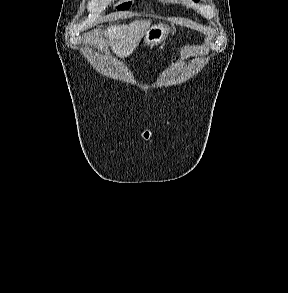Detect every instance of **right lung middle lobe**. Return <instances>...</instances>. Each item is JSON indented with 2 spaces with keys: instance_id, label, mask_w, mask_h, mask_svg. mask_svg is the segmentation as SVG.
<instances>
[{
  "instance_id": "right-lung-middle-lobe-1",
  "label": "right lung middle lobe",
  "mask_w": 288,
  "mask_h": 293,
  "mask_svg": "<svg viewBox=\"0 0 288 293\" xmlns=\"http://www.w3.org/2000/svg\"><path fill=\"white\" fill-rule=\"evenodd\" d=\"M131 6V2L123 3L122 5H119L117 7L118 10H125L128 9Z\"/></svg>"
}]
</instances>
